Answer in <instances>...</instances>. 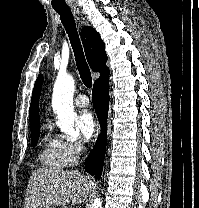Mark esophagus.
Wrapping results in <instances>:
<instances>
[{"instance_id": "34e87169", "label": "esophagus", "mask_w": 199, "mask_h": 208, "mask_svg": "<svg viewBox=\"0 0 199 208\" xmlns=\"http://www.w3.org/2000/svg\"><path fill=\"white\" fill-rule=\"evenodd\" d=\"M76 13H79V11L76 10ZM99 135H100V126H99L98 121H96L95 140H97V138L99 137Z\"/></svg>"}]
</instances>
